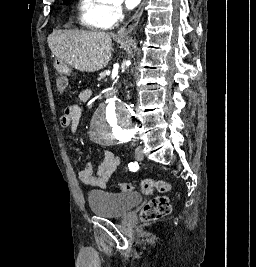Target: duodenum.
Listing matches in <instances>:
<instances>
[{"instance_id": "obj_1", "label": "duodenum", "mask_w": 256, "mask_h": 267, "mask_svg": "<svg viewBox=\"0 0 256 267\" xmlns=\"http://www.w3.org/2000/svg\"><path fill=\"white\" fill-rule=\"evenodd\" d=\"M56 71H59V73H70V68H67V66H56ZM103 94V98L106 99H113L114 98V93L115 90L114 89H103L102 90Z\"/></svg>"}]
</instances>
